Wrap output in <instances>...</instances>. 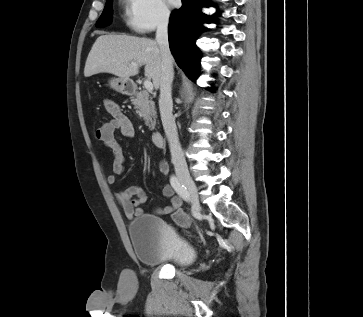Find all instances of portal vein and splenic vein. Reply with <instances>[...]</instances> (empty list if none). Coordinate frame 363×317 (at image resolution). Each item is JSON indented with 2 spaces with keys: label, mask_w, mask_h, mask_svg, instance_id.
I'll return each instance as SVG.
<instances>
[{
  "label": "portal vein and splenic vein",
  "mask_w": 363,
  "mask_h": 317,
  "mask_svg": "<svg viewBox=\"0 0 363 317\" xmlns=\"http://www.w3.org/2000/svg\"><path fill=\"white\" fill-rule=\"evenodd\" d=\"M129 66L132 67V68H138L139 67V65L137 63H131ZM144 88L146 90H148V91H152L153 90L152 82L150 80H145L144 81Z\"/></svg>",
  "instance_id": "portal-vein-and-splenic-vein-1"
}]
</instances>
